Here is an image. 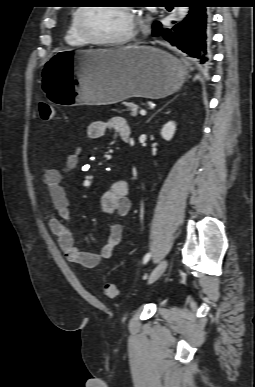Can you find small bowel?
<instances>
[{
	"mask_svg": "<svg viewBox=\"0 0 255 387\" xmlns=\"http://www.w3.org/2000/svg\"><path fill=\"white\" fill-rule=\"evenodd\" d=\"M110 129L115 130L120 137L122 134H128L130 136V127L127 121L121 116H112L106 120L99 119L91 122L88 126V136L91 139H98L103 137ZM83 154V146H75L67 154L62 166L44 171L42 182L59 216V218H51L48 226L51 233L57 237L60 249L70 262L86 268H94L103 260L113 256L116 246L122 239L123 228L120 224H113L110 228L107 243L99 252L83 251L75 245L74 236L67 225V222L72 220V216L63 181L66 174L78 166ZM128 193V181L124 179L115 181L101 197V208L103 212L106 214H117L122 217L127 216L132 208V202L128 197Z\"/></svg>",
	"mask_w": 255,
	"mask_h": 387,
	"instance_id": "small-bowel-1",
	"label": "small bowel"
}]
</instances>
